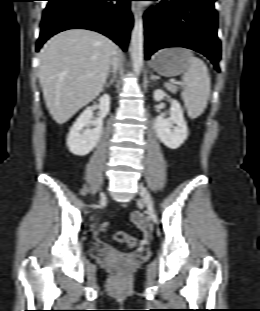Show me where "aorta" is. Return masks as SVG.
Wrapping results in <instances>:
<instances>
[{
    "instance_id": "obj_1",
    "label": "aorta",
    "mask_w": 260,
    "mask_h": 311,
    "mask_svg": "<svg viewBox=\"0 0 260 311\" xmlns=\"http://www.w3.org/2000/svg\"><path fill=\"white\" fill-rule=\"evenodd\" d=\"M143 31L142 18L137 16L130 43L132 67L136 74H139L143 67Z\"/></svg>"
}]
</instances>
